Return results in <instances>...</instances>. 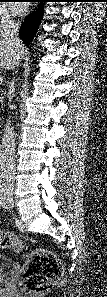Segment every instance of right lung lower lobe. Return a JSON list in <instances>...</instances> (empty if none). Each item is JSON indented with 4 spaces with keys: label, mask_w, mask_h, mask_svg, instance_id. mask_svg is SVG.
<instances>
[{
    "label": "right lung lower lobe",
    "mask_w": 107,
    "mask_h": 297,
    "mask_svg": "<svg viewBox=\"0 0 107 297\" xmlns=\"http://www.w3.org/2000/svg\"><path fill=\"white\" fill-rule=\"evenodd\" d=\"M49 1H52V0H38V2H49ZM42 14H43L42 6H40L37 12L32 13V15L28 16L25 19V22L20 28L19 35L22 41L26 44V46H29L35 32L37 31Z\"/></svg>",
    "instance_id": "98d812e1"
}]
</instances>
